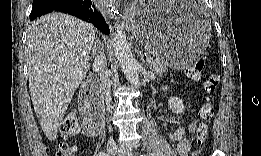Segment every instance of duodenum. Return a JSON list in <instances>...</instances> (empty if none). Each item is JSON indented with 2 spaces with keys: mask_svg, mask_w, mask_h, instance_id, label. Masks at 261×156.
Returning a JSON list of instances; mask_svg holds the SVG:
<instances>
[{
  "mask_svg": "<svg viewBox=\"0 0 261 156\" xmlns=\"http://www.w3.org/2000/svg\"><path fill=\"white\" fill-rule=\"evenodd\" d=\"M87 90L80 101V115L83 121L101 125L102 104L100 87L95 79L88 81Z\"/></svg>",
  "mask_w": 261,
  "mask_h": 156,
  "instance_id": "1",
  "label": "duodenum"
}]
</instances>
